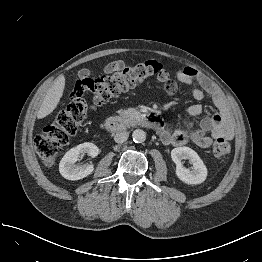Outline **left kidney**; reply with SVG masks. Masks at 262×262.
Listing matches in <instances>:
<instances>
[{
  "label": "left kidney",
  "mask_w": 262,
  "mask_h": 262,
  "mask_svg": "<svg viewBox=\"0 0 262 262\" xmlns=\"http://www.w3.org/2000/svg\"><path fill=\"white\" fill-rule=\"evenodd\" d=\"M171 157L176 164L177 177L186 184H200L205 181L208 170L198 154L189 147H177L171 151ZM182 159H189L192 168L187 169L182 165Z\"/></svg>",
  "instance_id": "5707ae66"
}]
</instances>
